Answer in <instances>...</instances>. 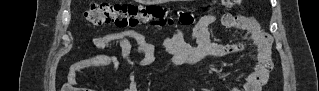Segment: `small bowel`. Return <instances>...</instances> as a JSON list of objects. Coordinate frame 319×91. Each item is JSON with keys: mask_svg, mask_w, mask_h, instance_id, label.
<instances>
[{"mask_svg": "<svg viewBox=\"0 0 319 91\" xmlns=\"http://www.w3.org/2000/svg\"><path fill=\"white\" fill-rule=\"evenodd\" d=\"M216 17L212 14L205 15L199 19L191 31L192 42H187L185 32L177 30L171 36L164 39V46L167 59L175 66L185 64L200 65V75L206 82L211 81L209 77L206 60L209 58H222L241 53L248 45L255 49L253 56L252 70L245 76L244 91H260L266 83L269 70L261 65L259 56L269 44V38L264 34L258 22L252 18L241 15L224 14L222 24L227 29H238L243 32L240 41L234 43L214 42L210 39V27ZM131 40L138 44L140 52L139 64L147 65L157 59V53L149 40L142 33L135 30L112 32L100 36L94 40V47L102 49L111 45H117L121 49L123 59L130 65L136 62L132 57ZM121 62L116 56L95 55L77 61L73 64L70 74V82L75 83L81 71L92 68H118ZM137 84L134 74L130 73L124 91H137ZM234 87L232 91H240Z\"/></svg>", "mask_w": 319, "mask_h": 91, "instance_id": "c3829d8e", "label": "small bowel"}]
</instances>
